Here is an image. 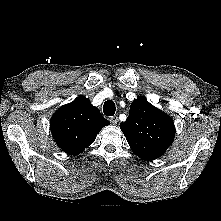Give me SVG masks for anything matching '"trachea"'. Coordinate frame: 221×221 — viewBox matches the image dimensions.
Segmentation results:
<instances>
[{"instance_id":"trachea-1","label":"trachea","mask_w":221,"mask_h":221,"mask_svg":"<svg viewBox=\"0 0 221 221\" xmlns=\"http://www.w3.org/2000/svg\"><path fill=\"white\" fill-rule=\"evenodd\" d=\"M116 111L115 103L112 100L105 101L103 105V112L106 116H113Z\"/></svg>"}]
</instances>
